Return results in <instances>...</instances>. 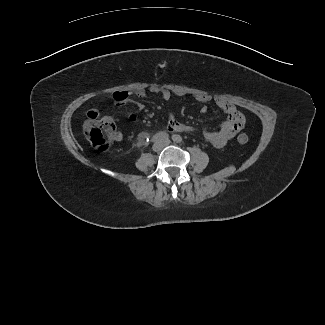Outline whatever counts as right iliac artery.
I'll return each mask as SVG.
<instances>
[{
  "label": "right iliac artery",
  "instance_id": "1",
  "mask_svg": "<svg viewBox=\"0 0 325 325\" xmlns=\"http://www.w3.org/2000/svg\"><path fill=\"white\" fill-rule=\"evenodd\" d=\"M169 135L166 132H159L152 137V142H158L161 140H167Z\"/></svg>",
  "mask_w": 325,
  "mask_h": 325
}]
</instances>
